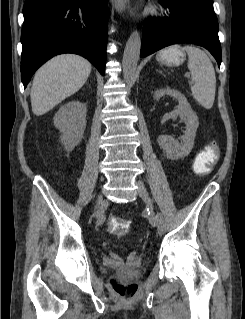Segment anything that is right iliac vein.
<instances>
[{"instance_id":"1","label":"right iliac vein","mask_w":245,"mask_h":319,"mask_svg":"<svg viewBox=\"0 0 245 319\" xmlns=\"http://www.w3.org/2000/svg\"><path fill=\"white\" fill-rule=\"evenodd\" d=\"M105 205L102 195H99L95 204V213L99 211Z\"/></svg>"}]
</instances>
